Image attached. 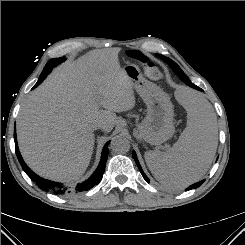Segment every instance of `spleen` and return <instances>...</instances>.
Returning <instances> with one entry per match:
<instances>
[{
  "mask_svg": "<svg viewBox=\"0 0 245 245\" xmlns=\"http://www.w3.org/2000/svg\"><path fill=\"white\" fill-rule=\"evenodd\" d=\"M183 97L187 126L177 142L169 150L145 153L153 176L171 188L199 181L209 169L218 145L217 119L211 104L194 91H185Z\"/></svg>",
  "mask_w": 245,
  "mask_h": 245,
  "instance_id": "obj_1",
  "label": "spleen"
}]
</instances>
